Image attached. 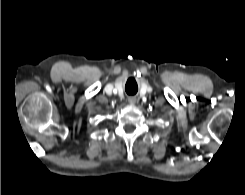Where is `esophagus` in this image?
<instances>
[{"mask_svg": "<svg viewBox=\"0 0 245 195\" xmlns=\"http://www.w3.org/2000/svg\"><path fill=\"white\" fill-rule=\"evenodd\" d=\"M128 102H129L130 104H135L136 98H135V97H129V98H128Z\"/></svg>", "mask_w": 245, "mask_h": 195, "instance_id": "esophagus-1", "label": "esophagus"}]
</instances>
